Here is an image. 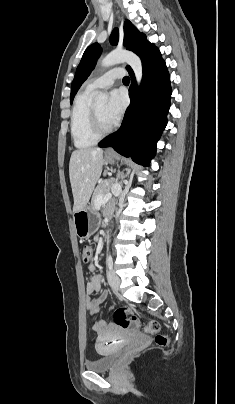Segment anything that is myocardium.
<instances>
[{"instance_id":"f54148a6","label":"myocardium","mask_w":235,"mask_h":404,"mask_svg":"<svg viewBox=\"0 0 235 404\" xmlns=\"http://www.w3.org/2000/svg\"><path fill=\"white\" fill-rule=\"evenodd\" d=\"M90 115H91V130L94 136L97 137L98 139L108 135L113 130L112 125L107 127H104L102 125L94 107H91Z\"/></svg>"}]
</instances>
